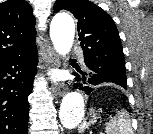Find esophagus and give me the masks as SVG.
I'll return each mask as SVG.
<instances>
[{"instance_id": "34e87169", "label": "esophagus", "mask_w": 153, "mask_h": 134, "mask_svg": "<svg viewBox=\"0 0 153 134\" xmlns=\"http://www.w3.org/2000/svg\"><path fill=\"white\" fill-rule=\"evenodd\" d=\"M43 51L46 56V63L48 66H58L59 59L56 55L53 47L49 43H45L43 46ZM52 90L55 95L61 97L67 92V86L64 83H55L52 85Z\"/></svg>"}]
</instances>
